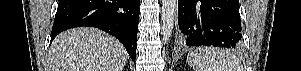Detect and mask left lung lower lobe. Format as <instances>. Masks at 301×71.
<instances>
[{
  "mask_svg": "<svg viewBox=\"0 0 301 71\" xmlns=\"http://www.w3.org/2000/svg\"><path fill=\"white\" fill-rule=\"evenodd\" d=\"M239 0H178V25L187 46L241 45Z\"/></svg>",
  "mask_w": 301,
  "mask_h": 71,
  "instance_id": "obj_1",
  "label": "left lung lower lobe"
}]
</instances>
